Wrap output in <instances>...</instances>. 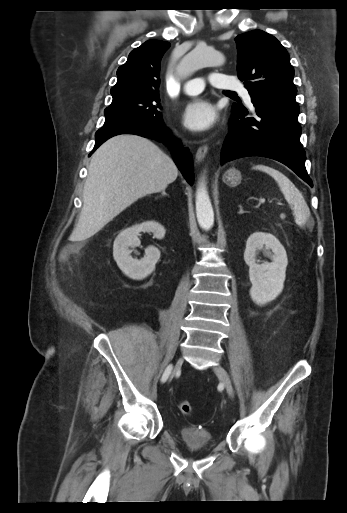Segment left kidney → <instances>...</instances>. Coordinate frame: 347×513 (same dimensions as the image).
<instances>
[{"mask_svg":"<svg viewBox=\"0 0 347 513\" xmlns=\"http://www.w3.org/2000/svg\"><path fill=\"white\" fill-rule=\"evenodd\" d=\"M269 249L273 252L272 262L256 263L257 252ZM244 261L249 266L252 300L258 305H265L276 299L283 290L288 265L286 250L280 241L265 232L251 234L246 242Z\"/></svg>","mask_w":347,"mask_h":513,"instance_id":"1","label":"left kidney"}]
</instances>
